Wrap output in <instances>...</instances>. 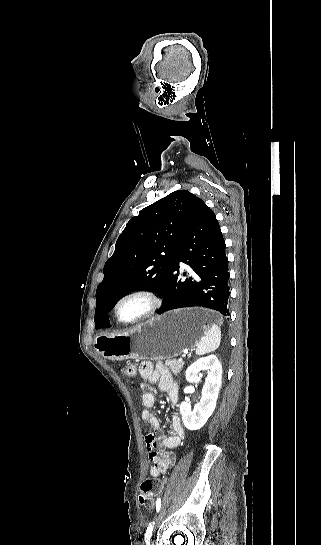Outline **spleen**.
Returning a JSON list of instances; mask_svg holds the SVG:
<instances>
[{
	"label": "spleen",
	"instance_id": "obj_1",
	"mask_svg": "<svg viewBox=\"0 0 321 545\" xmlns=\"http://www.w3.org/2000/svg\"><path fill=\"white\" fill-rule=\"evenodd\" d=\"M221 343V329L219 325H212L205 337H202L199 341L196 349V355H206V353H213L218 349Z\"/></svg>",
	"mask_w": 321,
	"mask_h": 545
}]
</instances>
